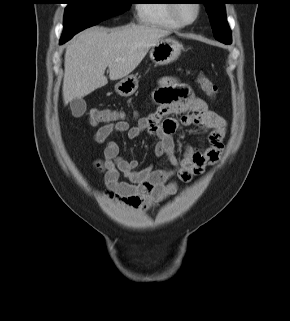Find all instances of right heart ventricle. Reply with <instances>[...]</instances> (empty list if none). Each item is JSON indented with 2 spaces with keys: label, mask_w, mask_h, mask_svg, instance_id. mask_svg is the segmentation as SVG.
Returning <instances> with one entry per match:
<instances>
[{
  "label": "right heart ventricle",
  "mask_w": 290,
  "mask_h": 321,
  "mask_svg": "<svg viewBox=\"0 0 290 321\" xmlns=\"http://www.w3.org/2000/svg\"><path fill=\"white\" fill-rule=\"evenodd\" d=\"M172 0H146L137 7L138 20L147 25L178 29V23L171 13Z\"/></svg>",
  "instance_id": "right-heart-ventricle-1"
}]
</instances>
